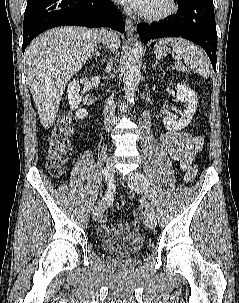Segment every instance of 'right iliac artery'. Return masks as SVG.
<instances>
[{"label": "right iliac artery", "instance_id": "obj_1", "mask_svg": "<svg viewBox=\"0 0 239 303\" xmlns=\"http://www.w3.org/2000/svg\"><path fill=\"white\" fill-rule=\"evenodd\" d=\"M106 175L107 176H115V171H107ZM107 181L109 182L108 188H107V191H106L105 195L103 196V198H102V200H101L100 203L105 202L107 200H110L112 198L114 192H115V188H116L115 183H116V180L114 178L108 177Z\"/></svg>", "mask_w": 239, "mask_h": 303}]
</instances>
